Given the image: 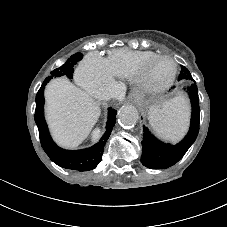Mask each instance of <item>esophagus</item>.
I'll return each mask as SVG.
<instances>
[{"instance_id": "esophagus-1", "label": "esophagus", "mask_w": 227, "mask_h": 227, "mask_svg": "<svg viewBox=\"0 0 227 227\" xmlns=\"http://www.w3.org/2000/svg\"><path fill=\"white\" fill-rule=\"evenodd\" d=\"M136 107H137L138 110L143 111V110L146 109L147 104H146L145 101L140 100V101L137 102Z\"/></svg>"}]
</instances>
